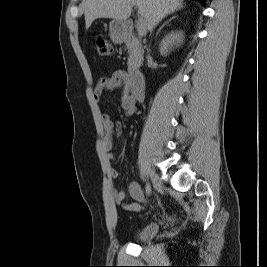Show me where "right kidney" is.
Segmentation results:
<instances>
[{"label":"right kidney","instance_id":"right-kidney-1","mask_svg":"<svg viewBox=\"0 0 267 267\" xmlns=\"http://www.w3.org/2000/svg\"><path fill=\"white\" fill-rule=\"evenodd\" d=\"M182 42V31H171L162 39L159 45V51L162 56H167L174 46H179Z\"/></svg>","mask_w":267,"mask_h":267}]
</instances>
